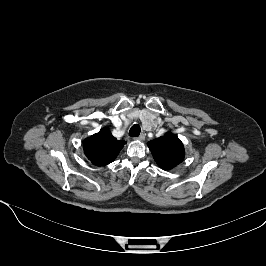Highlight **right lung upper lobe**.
<instances>
[{
	"mask_svg": "<svg viewBox=\"0 0 266 266\" xmlns=\"http://www.w3.org/2000/svg\"><path fill=\"white\" fill-rule=\"evenodd\" d=\"M125 141L117 140L107 129L85 139L83 142L84 154L95 166H105L113 162Z\"/></svg>",
	"mask_w": 266,
	"mask_h": 266,
	"instance_id": "right-lung-upper-lobe-1",
	"label": "right lung upper lobe"
}]
</instances>
